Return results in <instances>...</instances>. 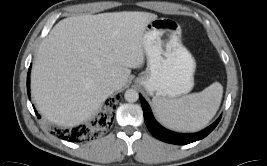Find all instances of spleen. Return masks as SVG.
Instances as JSON below:
<instances>
[{
	"instance_id": "spleen-1",
	"label": "spleen",
	"mask_w": 267,
	"mask_h": 166,
	"mask_svg": "<svg viewBox=\"0 0 267 166\" xmlns=\"http://www.w3.org/2000/svg\"><path fill=\"white\" fill-rule=\"evenodd\" d=\"M222 94V85L215 82L199 93L178 99L154 97L153 106L159 120L168 128L193 132L204 128L214 117L220 106Z\"/></svg>"
}]
</instances>
